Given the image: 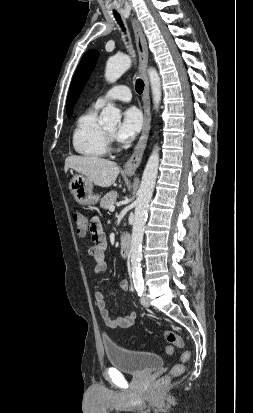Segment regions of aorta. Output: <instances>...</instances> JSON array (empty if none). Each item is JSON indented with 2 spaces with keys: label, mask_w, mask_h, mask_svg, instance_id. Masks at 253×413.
<instances>
[{
  "label": "aorta",
  "mask_w": 253,
  "mask_h": 413,
  "mask_svg": "<svg viewBox=\"0 0 253 413\" xmlns=\"http://www.w3.org/2000/svg\"><path fill=\"white\" fill-rule=\"evenodd\" d=\"M131 66V58L127 55H116L110 57L106 63L105 78L108 82L117 81ZM148 76L151 84L154 108L158 110L162 90L161 79L155 68L148 69ZM102 123L113 126L120 122L121 114L114 105L108 104L101 112ZM159 168V147L155 146L144 169L141 184L136 200L135 217L132 228L130 254L131 268L133 272L140 271V261L142 258V241L144 226L147 218V209L152 198L156 178Z\"/></svg>",
  "instance_id": "762f6f07"
}]
</instances>
